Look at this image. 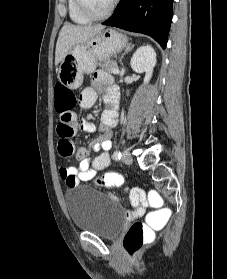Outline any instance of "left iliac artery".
<instances>
[{
	"label": "left iliac artery",
	"instance_id": "1",
	"mask_svg": "<svg viewBox=\"0 0 227 279\" xmlns=\"http://www.w3.org/2000/svg\"><path fill=\"white\" fill-rule=\"evenodd\" d=\"M121 151L120 150H116L115 152H114V155H113V157H114V159L115 160H119L120 158H121Z\"/></svg>",
	"mask_w": 227,
	"mask_h": 279
}]
</instances>
